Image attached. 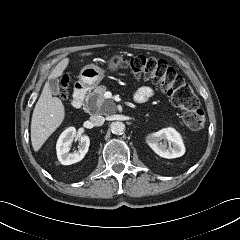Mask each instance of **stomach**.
<instances>
[{
	"label": "stomach",
	"instance_id": "obj_1",
	"mask_svg": "<svg viewBox=\"0 0 240 240\" xmlns=\"http://www.w3.org/2000/svg\"><path fill=\"white\" fill-rule=\"evenodd\" d=\"M124 63L123 56L113 55L109 59V68L112 71L118 70ZM105 71L95 64H89L83 67L79 74V83L86 88L96 87L104 78Z\"/></svg>",
	"mask_w": 240,
	"mask_h": 240
}]
</instances>
